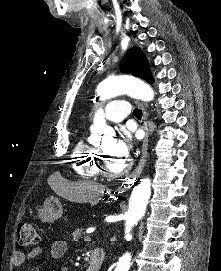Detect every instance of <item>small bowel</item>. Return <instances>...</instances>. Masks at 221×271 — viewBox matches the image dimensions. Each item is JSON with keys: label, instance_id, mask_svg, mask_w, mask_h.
I'll use <instances>...</instances> for the list:
<instances>
[{"label": "small bowel", "instance_id": "1", "mask_svg": "<svg viewBox=\"0 0 221 271\" xmlns=\"http://www.w3.org/2000/svg\"><path fill=\"white\" fill-rule=\"evenodd\" d=\"M67 251V243L64 240H56L52 243L50 255L53 259L61 258ZM42 252L41 247H34L27 252L16 251L12 255V265L20 267L28 261L37 258ZM60 271H69V268L63 267Z\"/></svg>", "mask_w": 221, "mask_h": 271}]
</instances>
